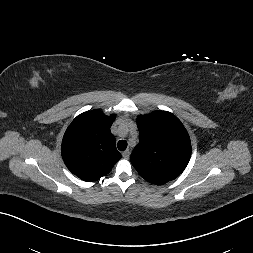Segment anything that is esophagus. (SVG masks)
Returning <instances> with one entry per match:
<instances>
[{"mask_svg": "<svg viewBox=\"0 0 253 253\" xmlns=\"http://www.w3.org/2000/svg\"><path fill=\"white\" fill-rule=\"evenodd\" d=\"M122 156L125 159H129V157H130V151L129 150H125L124 152H122Z\"/></svg>", "mask_w": 253, "mask_h": 253, "instance_id": "esophagus-1", "label": "esophagus"}]
</instances>
